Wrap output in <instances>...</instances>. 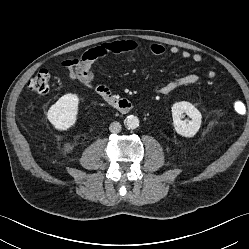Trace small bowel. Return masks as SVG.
<instances>
[{
  "mask_svg": "<svg viewBox=\"0 0 249 249\" xmlns=\"http://www.w3.org/2000/svg\"><path fill=\"white\" fill-rule=\"evenodd\" d=\"M148 51L156 56H160L166 53L167 48L161 43L152 44ZM168 51L172 55L180 54L183 59L191 60L195 63L202 61V56L199 53H192L187 50L180 51L177 46H171ZM113 55H130L139 56L146 59L145 49L135 40H113L109 42L101 43L100 45L89 49L83 54L82 57H72L64 61V66L68 71L70 79L79 81L84 86L92 89L98 95L102 96L103 93L110 91V89L104 84H94L93 67L97 60L106 58ZM207 76L210 79L215 78L216 72L213 69L207 71ZM200 77L197 74H187L160 86L156 92L160 95H167L174 90L197 84Z\"/></svg>",
  "mask_w": 249,
  "mask_h": 249,
  "instance_id": "c3829d8e",
  "label": "small bowel"
}]
</instances>
